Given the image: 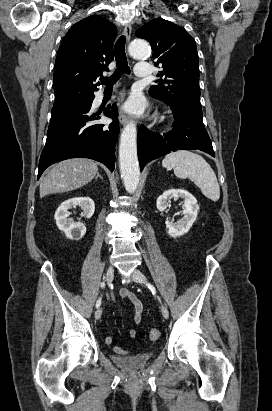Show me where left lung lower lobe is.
Returning a JSON list of instances; mask_svg holds the SVG:
<instances>
[{
	"instance_id": "1",
	"label": "left lung lower lobe",
	"mask_w": 272,
	"mask_h": 411,
	"mask_svg": "<svg viewBox=\"0 0 272 411\" xmlns=\"http://www.w3.org/2000/svg\"><path fill=\"white\" fill-rule=\"evenodd\" d=\"M138 159L141 171L144 165L173 151L198 149L215 156L210 137L201 117L180 116L174 113L173 129L160 135L140 126L137 136Z\"/></svg>"
}]
</instances>
